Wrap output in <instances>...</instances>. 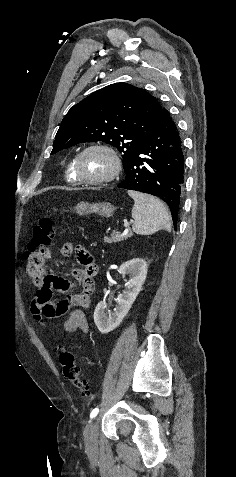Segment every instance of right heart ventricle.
<instances>
[{
  "label": "right heart ventricle",
  "mask_w": 236,
  "mask_h": 477,
  "mask_svg": "<svg viewBox=\"0 0 236 477\" xmlns=\"http://www.w3.org/2000/svg\"><path fill=\"white\" fill-rule=\"evenodd\" d=\"M74 160H75V158H72L66 166L65 180L70 184H79L78 178H77V176L74 172V168H73Z\"/></svg>",
  "instance_id": "obj_1"
}]
</instances>
